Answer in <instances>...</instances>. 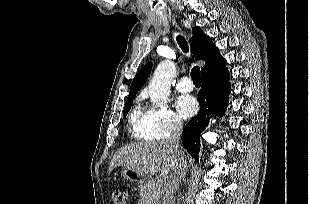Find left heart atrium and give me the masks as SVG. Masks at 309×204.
I'll list each match as a JSON object with an SVG mask.
<instances>
[{
  "mask_svg": "<svg viewBox=\"0 0 309 204\" xmlns=\"http://www.w3.org/2000/svg\"><path fill=\"white\" fill-rule=\"evenodd\" d=\"M176 106L179 114L183 118H189L193 116L197 111V102L192 96H180L177 99Z\"/></svg>",
  "mask_w": 309,
  "mask_h": 204,
  "instance_id": "left-heart-atrium-1",
  "label": "left heart atrium"
}]
</instances>
